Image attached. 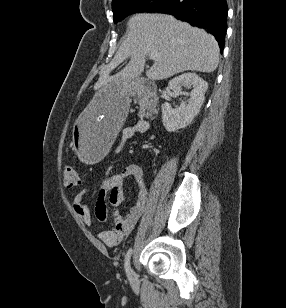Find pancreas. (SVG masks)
<instances>
[{
  "mask_svg": "<svg viewBox=\"0 0 286 308\" xmlns=\"http://www.w3.org/2000/svg\"><path fill=\"white\" fill-rule=\"evenodd\" d=\"M139 98V117L143 118L146 115V110L150 108L149 96L144 92H137Z\"/></svg>",
  "mask_w": 286,
  "mask_h": 308,
  "instance_id": "obj_1",
  "label": "pancreas"
}]
</instances>
